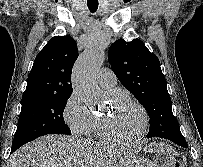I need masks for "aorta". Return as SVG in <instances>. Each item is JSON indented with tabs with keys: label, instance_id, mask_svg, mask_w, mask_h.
<instances>
[{
	"label": "aorta",
	"instance_id": "762f6f07",
	"mask_svg": "<svg viewBox=\"0 0 203 167\" xmlns=\"http://www.w3.org/2000/svg\"><path fill=\"white\" fill-rule=\"evenodd\" d=\"M104 59V51L96 44H91L74 66L72 86L87 105H94L100 99L101 92L96 83V72Z\"/></svg>",
	"mask_w": 203,
	"mask_h": 167
}]
</instances>
